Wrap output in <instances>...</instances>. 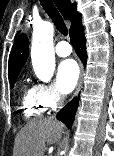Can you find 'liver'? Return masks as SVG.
I'll return each mask as SVG.
<instances>
[{"label": "liver", "mask_w": 114, "mask_h": 156, "mask_svg": "<svg viewBox=\"0 0 114 156\" xmlns=\"http://www.w3.org/2000/svg\"><path fill=\"white\" fill-rule=\"evenodd\" d=\"M62 131L63 124L51 117L29 121L15 138L13 156H43L46 143L57 142Z\"/></svg>", "instance_id": "1"}]
</instances>
